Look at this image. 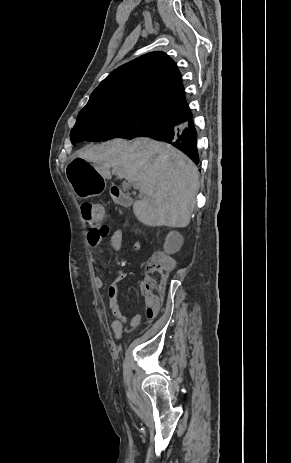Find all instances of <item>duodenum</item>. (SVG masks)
<instances>
[{
	"instance_id": "obj_1",
	"label": "duodenum",
	"mask_w": 291,
	"mask_h": 463,
	"mask_svg": "<svg viewBox=\"0 0 291 463\" xmlns=\"http://www.w3.org/2000/svg\"><path fill=\"white\" fill-rule=\"evenodd\" d=\"M111 196L121 205H128L130 203V198L123 191L117 188H113L111 190Z\"/></svg>"
}]
</instances>
